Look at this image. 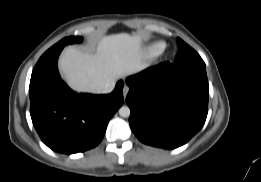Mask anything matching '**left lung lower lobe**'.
<instances>
[{
	"mask_svg": "<svg viewBox=\"0 0 261 182\" xmlns=\"http://www.w3.org/2000/svg\"><path fill=\"white\" fill-rule=\"evenodd\" d=\"M126 82L129 123L141 142L174 149L202 128L209 98L205 64L163 62Z\"/></svg>",
	"mask_w": 261,
	"mask_h": 182,
	"instance_id": "0a47b994",
	"label": "left lung lower lobe"
}]
</instances>
